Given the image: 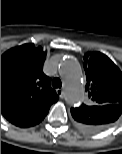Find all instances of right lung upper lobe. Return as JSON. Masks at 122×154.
I'll list each match as a JSON object with an SVG mask.
<instances>
[{"label": "right lung upper lobe", "mask_w": 122, "mask_h": 154, "mask_svg": "<svg viewBox=\"0 0 122 154\" xmlns=\"http://www.w3.org/2000/svg\"><path fill=\"white\" fill-rule=\"evenodd\" d=\"M46 51L28 43L1 56V113L18 127L41 122L58 100L42 67Z\"/></svg>", "instance_id": "right-lung-upper-lobe-1"}]
</instances>
